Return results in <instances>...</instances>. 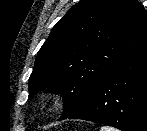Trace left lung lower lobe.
Segmentation results:
<instances>
[{
	"label": "left lung lower lobe",
	"instance_id": "1",
	"mask_svg": "<svg viewBox=\"0 0 147 131\" xmlns=\"http://www.w3.org/2000/svg\"><path fill=\"white\" fill-rule=\"evenodd\" d=\"M65 119H81L122 131H147V42L125 55L87 102Z\"/></svg>",
	"mask_w": 147,
	"mask_h": 131
}]
</instances>
